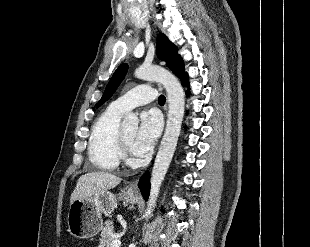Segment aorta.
<instances>
[{
	"label": "aorta",
	"instance_id": "762f6f07",
	"mask_svg": "<svg viewBox=\"0 0 310 247\" xmlns=\"http://www.w3.org/2000/svg\"><path fill=\"white\" fill-rule=\"evenodd\" d=\"M135 76L142 80L156 81L162 83L167 91L169 104L166 129L154 162L150 180V196L144 218L152 216L160 193L162 182L165 178L171 160L173 158L181 124L184 116L185 94L180 82L169 71L156 66H140L135 70ZM138 117L129 113L123 120L124 128L138 127Z\"/></svg>",
	"mask_w": 310,
	"mask_h": 247
}]
</instances>
